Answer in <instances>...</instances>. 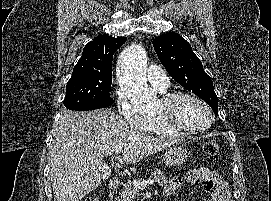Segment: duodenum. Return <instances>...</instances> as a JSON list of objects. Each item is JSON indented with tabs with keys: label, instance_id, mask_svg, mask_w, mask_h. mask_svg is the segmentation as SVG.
<instances>
[{
	"label": "duodenum",
	"instance_id": "duodenum-1",
	"mask_svg": "<svg viewBox=\"0 0 271 201\" xmlns=\"http://www.w3.org/2000/svg\"><path fill=\"white\" fill-rule=\"evenodd\" d=\"M120 183H121L120 178L118 176H116V177L112 178L108 182L107 189L110 190V191H112V190L116 189L120 185Z\"/></svg>",
	"mask_w": 271,
	"mask_h": 201
}]
</instances>
